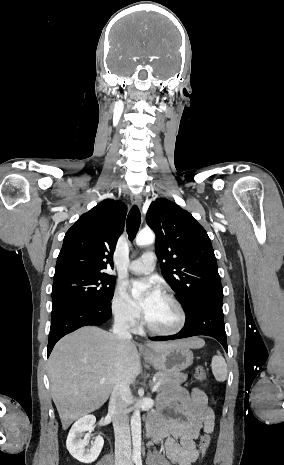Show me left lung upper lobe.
Returning <instances> with one entry per match:
<instances>
[{"mask_svg": "<svg viewBox=\"0 0 284 465\" xmlns=\"http://www.w3.org/2000/svg\"><path fill=\"white\" fill-rule=\"evenodd\" d=\"M146 221L157 237L155 251L162 275L184 307L200 300L222 302L214 250L196 219L174 202L159 198L150 204Z\"/></svg>", "mask_w": 284, "mask_h": 465, "instance_id": "1", "label": "left lung upper lobe"}]
</instances>
